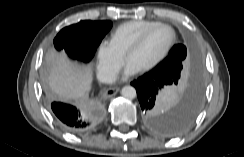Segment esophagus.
Listing matches in <instances>:
<instances>
[{
	"label": "esophagus",
	"instance_id": "obj_1",
	"mask_svg": "<svg viewBox=\"0 0 244 157\" xmlns=\"http://www.w3.org/2000/svg\"><path fill=\"white\" fill-rule=\"evenodd\" d=\"M119 90H120V88H109V89L106 90L105 96L107 98H110V97L116 95Z\"/></svg>",
	"mask_w": 244,
	"mask_h": 157
}]
</instances>
